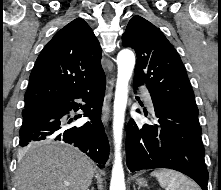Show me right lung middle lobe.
<instances>
[{"instance_id":"obj_1","label":"right lung middle lobe","mask_w":221,"mask_h":190,"mask_svg":"<svg viewBox=\"0 0 221 190\" xmlns=\"http://www.w3.org/2000/svg\"><path fill=\"white\" fill-rule=\"evenodd\" d=\"M38 109H39V108H38ZM35 110H37V109H24V110L22 111V116L24 117V116H26V115H28V114L34 112Z\"/></svg>"}]
</instances>
